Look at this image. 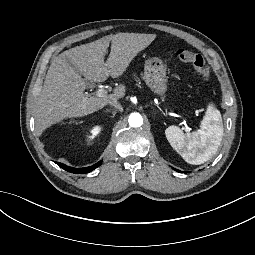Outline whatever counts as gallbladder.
Segmentation results:
<instances>
[{
  "label": "gallbladder",
  "instance_id": "obj_1",
  "mask_svg": "<svg viewBox=\"0 0 255 255\" xmlns=\"http://www.w3.org/2000/svg\"><path fill=\"white\" fill-rule=\"evenodd\" d=\"M71 66H72V67H74L72 64H71ZM76 73H78V74H79L80 72H79L78 70H76Z\"/></svg>",
  "mask_w": 255,
  "mask_h": 255
}]
</instances>
